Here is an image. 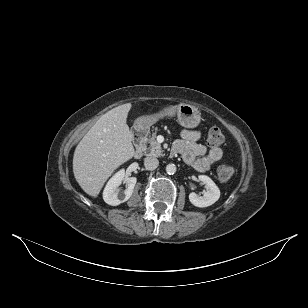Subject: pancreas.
<instances>
[{"instance_id":"pancreas-1","label":"pancreas","mask_w":308,"mask_h":308,"mask_svg":"<svg viewBox=\"0 0 308 308\" xmlns=\"http://www.w3.org/2000/svg\"><path fill=\"white\" fill-rule=\"evenodd\" d=\"M155 137H156L155 133H153L152 136L147 137L146 144H148V146L145 149V155L161 157L163 156V150L161 145L156 141Z\"/></svg>"}]
</instances>
